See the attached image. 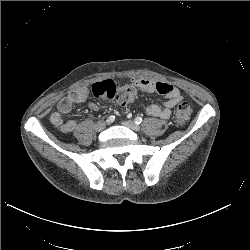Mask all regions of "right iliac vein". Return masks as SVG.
I'll list each match as a JSON object with an SVG mask.
<instances>
[{
	"label": "right iliac vein",
	"mask_w": 250,
	"mask_h": 250,
	"mask_svg": "<svg viewBox=\"0 0 250 250\" xmlns=\"http://www.w3.org/2000/svg\"><path fill=\"white\" fill-rule=\"evenodd\" d=\"M105 126H106L105 121H98L95 125V130L100 132L105 128Z\"/></svg>",
	"instance_id": "obj_1"
}]
</instances>
